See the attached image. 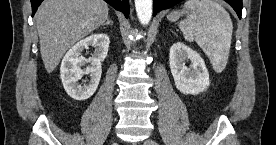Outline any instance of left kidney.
I'll list each match as a JSON object with an SVG mask.
<instances>
[{
  "label": "left kidney",
  "instance_id": "1",
  "mask_svg": "<svg viewBox=\"0 0 276 145\" xmlns=\"http://www.w3.org/2000/svg\"><path fill=\"white\" fill-rule=\"evenodd\" d=\"M186 61H190L189 67ZM169 63L176 88L183 94L197 95L210 85L209 73L202 57L182 42L170 48Z\"/></svg>",
  "mask_w": 276,
  "mask_h": 145
}]
</instances>
